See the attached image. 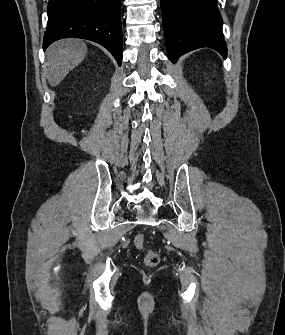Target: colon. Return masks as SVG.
<instances>
[{"label":"colon","instance_id":"1","mask_svg":"<svg viewBox=\"0 0 285 335\" xmlns=\"http://www.w3.org/2000/svg\"><path fill=\"white\" fill-rule=\"evenodd\" d=\"M145 236L143 234H137L134 237V245L136 248L143 250L145 249ZM160 262V255L154 250H146L144 256V263L148 267H154Z\"/></svg>","mask_w":285,"mask_h":335}]
</instances>
